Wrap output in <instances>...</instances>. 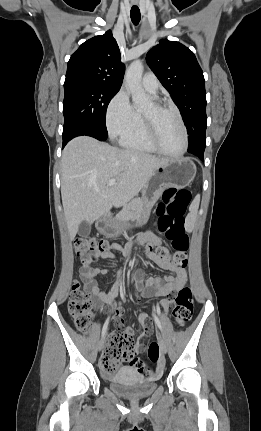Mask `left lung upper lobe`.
I'll return each instance as SVG.
<instances>
[{
  "label": "left lung upper lobe",
  "mask_w": 261,
  "mask_h": 431,
  "mask_svg": "<svg viewBox=\"0 0 261 431\" xmlns=\"http://www.w3.org/2000/svg\"><path fill=\"white\" fill-rule=\"evenodd\" d=\"M146 61L172 96L189 134L188 152L203 151L206 146L205 80L194 53L176 41L160 40Z\"/></svg>",
  "instance_id": "1"
}]
</instances>
